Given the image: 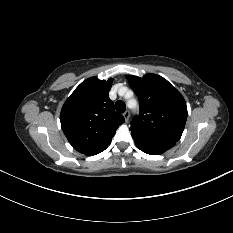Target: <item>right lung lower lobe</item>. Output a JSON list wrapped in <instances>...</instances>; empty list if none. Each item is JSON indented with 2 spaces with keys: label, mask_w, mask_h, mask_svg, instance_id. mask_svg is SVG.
Here are the masks:
<instances>
[{
  "label": "right lung lower lobe",
  "mask_w": 233,
  "mask_h": 233,
  "mask_svg": "<svg viewBox=\"0 0 233 233\" xmlns=\"http://www.w3.org/2000/svg\"><path fill=\"white\" fill-rule=\"evenodd\" d=\"M108 144H109V143H108ZM108 144H107V145H105V146H104V147H102V148H99V149H97V150H94V151L88 152V153H86L85 155H88V156L96 155V154H98V153H100V152L104 151V150L108 147Z\"/></svg>",
  "instance_id": "obj_1"
}]
</instances>
